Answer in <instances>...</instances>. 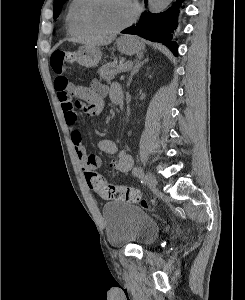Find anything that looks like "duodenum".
I'll return each mask as SVG.
<instances>
[{
  "label": "duodenum",
  "mask_w": 245,
  "mask_h": 300,
  "mask_svg": "<svg viewBox=\"0 0 245 300\" xmlns=\"http://www.w3.org/2000/svg\"><path fill=\"white\" fill-rule=\"evenodd\" d=\"M115 103H116V105L119 108L123 107L124 100H123V93L122 92H117L116 93V95H115Z\"/></svg>",
  "instance_id": "duodenum-1"
}]
</instances>
